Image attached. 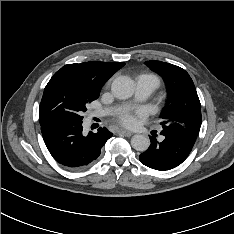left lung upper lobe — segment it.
I'll use <instances>...</instances> for the list:
<instances>
[{
    "mask_svg": "<svg viewBox=\"0 0 234 234\" xmlns=\"http://www.w3.org/2000/svg\"><path fill=\"white\" fill-rule=\"evenodd\" d=\"M145 64L164 79L168 88V100L162 111L163 130L183 138L194 145L202 116L201 105L194 83L182 68L161 62L146 61Z\"/></svg>",
    "mask_w": 234,
    "mask_h": 234,
    "instance_id": "1",
    "label": "left lung upper lobe"
}]
</instances>
